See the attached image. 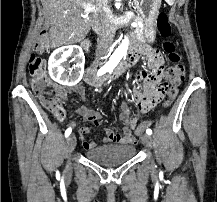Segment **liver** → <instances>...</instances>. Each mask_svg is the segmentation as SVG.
Returning <instances> with one entry per match:
<instances>
[{"label": "liver", "mask_w": 217, "mask_h": 202, "mask_svg": "<svg viewBox=\"0 0 217 202\" xmlns=\"http://www.w3.org/2000/svg\"><path fill=\"white\" fill-rule=\"evenodd\" d=\"M49 16L51 48L82 42L91 30L89 16L95 0H40Z\"/></svg>", "instance_id": "liver-1"}]
</instances>
